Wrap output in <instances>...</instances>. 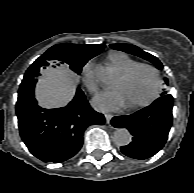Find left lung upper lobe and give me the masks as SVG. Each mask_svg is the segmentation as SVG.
<instances>
[{
	"instance_id": "obj_1",
	"label": "left lung upper lobe",
	"mask_w": 194,
	"mask_h": 193,
	"mask_svg": "<svg viewBox=\"0 0 194 193\" xmlns=\"http://www.w3.org/2000/svg\"><path fill=\"white\" fill-rule=\"evenodd\" d=\"M111 48L116 49V50H122L124 52L139 56L141 58H144L150 62H152L153 64L156 65V67L158 69H162L163 65L162 63L153 55L141 50L140 48H138L137 46H133L130 44H123V43H118V44H111L110 45ZM166 82L168 83V81L166 80ZM167 92H163L162 95H166Z\"/></svg>"
}]
</instances>
